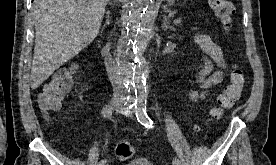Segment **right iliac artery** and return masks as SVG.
Returning <instances> with one entry per match:
<instances>
[{"mask_svg":"<svg viewBox=\"0 0 276 165\" xmlns=\"http://www.w3.org/2000/svg\"><path fill=\"white\" fill-rule=\"evenodd\" d=\"M136 102H137V101L134 100V99L128 100V102H126V107H125L124 109H127V110H128V109L133 108V107L135 106ZM112 110H113V108L111 107V105H106V106L103 108V110H102L103 115H104L105 117L110 118L111 115H112ZM105 163H106V159L101 160V161L98 163V165H105Z\"/></svg>","mask_w":276,"mask_h":165,"instance_id":"right-iliac-artery-1","label":"right iliac artery"}]
</instances>
